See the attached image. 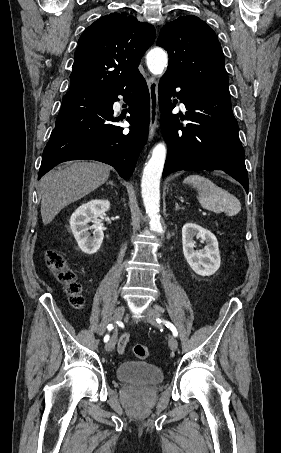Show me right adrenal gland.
<instances>
[{
    "instance_id": "obj_1",
    "label": "right adrenal gland",
    "mask_w": 281,
    "mask_h": 453,
    "mask_svg": "<svg viewBox=\"0 0 281 453\" xmlns=\"http://www.w3.org/2000/svg\"><path fill=\"white\" fill-rule=\"evenodd\" d=\"M107 184H111L112 188H113V186H116V184H114L113 180H109V182H107Z\"/></svg>"
}]
</instances>
